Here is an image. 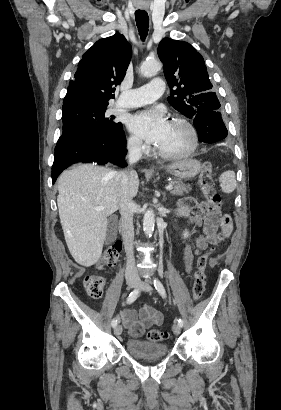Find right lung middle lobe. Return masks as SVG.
Wrapping results in <instances>:
<instances>
[{
    "mask_svg": "<svg viewBox=\"0 0 281 410\" xmlns=\"http://www.w3.org/2000/svg\"><path fill=\"white\" fill-rule=\"evenodd\" d=\"M107 105L75 103L63 106V133L57 145L80 137L109 136L123 130L113 116L107 117Z\"/></svg>",
    "mask_w": 281,
    "mask_h": 410,
    "instance_id": "obj_1",
    "label": "right lung middle lobe"
}]
</instances>
